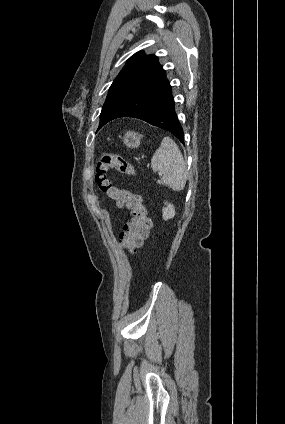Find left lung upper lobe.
<instances>
[{
  "instance_id": "5c2ea615",
  "label": "left lung upper lobe",
  "mask_w": 285,
  "mask_h": 424,
  "mask_svg": "<svg viewBox=\"0 0 285 424\" xmlns=\"http://www.w3.org/2000/svg\"><path fill=\"white\" fill-rule=\"evenodd\" d=\"M163 71L155 55H145L142 51L134 54L110 86L98 130L105 125L107 116L118 104L156 80Z\"/></svg>"
}]
</instances>
